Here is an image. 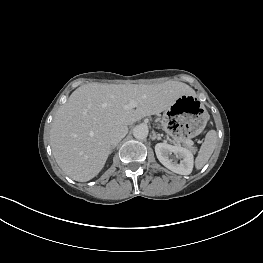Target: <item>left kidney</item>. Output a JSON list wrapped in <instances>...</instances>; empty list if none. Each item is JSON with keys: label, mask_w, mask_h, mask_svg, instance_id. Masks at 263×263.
Wrapping results in <instances>:
<instances>
[{"label": "left kidney", "mask_w": 263, "mask_h": 263, "mask_svg": "<svg viewBox=\"0 0 263 263\" xmlns=\"http://www.w3.org/2000/svg\"><path fill=\"white\" fill-rule=\"evenodd\" d=\"M155 153L158 160L166 168L177 174L189 175L193 170V154L184 147L167 143H158L155 145ZM177 158L182 159L180 163L176 161Z\"/></svg>", "instance_id": "1"}]
</instances>
